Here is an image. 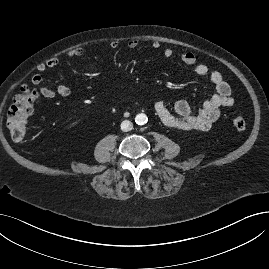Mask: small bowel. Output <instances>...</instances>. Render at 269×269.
<instances>
[{"label":"small bowel","mask_w":269,"mask_h":269,"mask_svg":"<svg viewBox=\"0 0 269 269\" xmlns=\"http://www.w3.org/2000/svg\"><path fill=\"white\" fill-rule=\"evenodd\" d=\"M109 46L111 49H117L119 42L113 40ZM138 46L139 42L136 39H131L127 43V47L131 50L138 48ZM151 47L154 50L162 49L165 58H171L174 54L171 47H162L159 41H153ZM83 54L84 50L77 47L70 50L67 56L81 57ZM180 60L183 64L191 67L195 74L199 76L209 75V79L215 88V94L204 102L202 109L197 114L192 113L190 104L183 99L175 102L172 110L164 102L157 101L154 104L155 113L161 122L168 127L181 131H207L219 119L223 108L232 107L235 104L231 86L219 71L209 72L206 65L197 63L193 53H182ZM59 63L58 58H51L40 64L31 77V82L39 88L40 94L47 100L54 98L56 95L68 97L71 93L70 88L65 85H59L56 90H52L43 84V73L49 68L58 66Z\"/></svg>","instance_id":"1"}]
</instances>
